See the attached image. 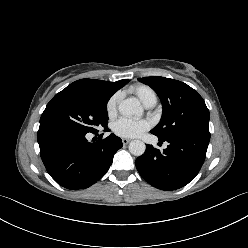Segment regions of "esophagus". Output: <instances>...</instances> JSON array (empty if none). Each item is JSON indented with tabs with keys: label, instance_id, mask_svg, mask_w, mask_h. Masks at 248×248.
<instances>
[{
	"label": "esophagus",
	"instance_id": "34e87169",
	"mask_svg": "<svg viewBox=\"0 0 248 248\" xmlns=\"http://www.w3.org/2000/svg\"><path fill=\"white\" fill-rule=\"evenodd\" d=\"M130 141H131V140H130V139H127V138H123V139H122V143H123L124 145H127Z\"/></svg>",
	"mask_w": 248,
	"mask_h": 248
}]
</instances>
